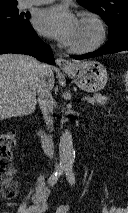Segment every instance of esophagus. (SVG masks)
Returning <instances> with one entry per match:
<instances>
[{
	"label": "esophagus",
	"instance_id": "34e87169",
	"mask_svg": "<svg viewBox=\"0 0 128 213\" xmlns=\"http://www.w3.org/2000/svg\"><path fill=\"white\" fill-rule=\"evenodd\" d=\"M56 64L58 65L59 68L63 70H69L73 68L72 63L63 58L62 56H58L56 58Z\"/></svg>",
	"mask_w": 128,
	"mask_h": 213
}]
</instances>
